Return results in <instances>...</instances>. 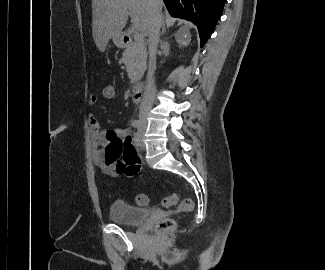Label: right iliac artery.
Masks as SVG:
<instances>
[{"label": "right iliac artery", "instance_id": "82829eb1", "mask_svg": "<svg viewBox=\"0 0 325 270\" xmlns=\"http://www.w3.org/2000/svg\"><path fill=\"white\" fill-rule=\"evenodd\" d=\"M132 126H133V127H139V126H140V121H139V120H134V121L132 122Z\"/></svg>", "mask_w": 325, "mask_h": 270}]
</instances>
